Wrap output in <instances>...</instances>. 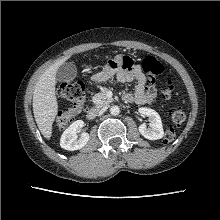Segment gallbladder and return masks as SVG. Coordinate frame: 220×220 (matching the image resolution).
Returning <instances> with one entry per match:
<instances>
[{"label":"gallbladder","mask_w":220,"mask_h":220,"mask_svg":"<svg viewBox=\"0 0 220 220\" xmlns=\"http://www.w3.org/2000/svg\"><path fill=\"white\" fill-rule=\"evenodd\" d=\"M77 75L76 65L71 62L63 63L56 72V79L59 82H71Z\"/></svg>","instance_id":"bac80fb5"}]
</instances>
